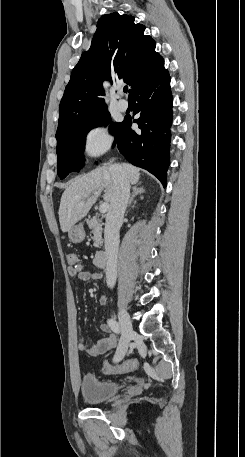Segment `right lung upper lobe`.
Returning a JSON list of instances; mask_svg holds the SVG:
<instances>
[{"instance_id": "1", "label": "right lung upper lobe", "mask_w": 245, "mask_h": 457, "mask_svg": "<svg viewBox=\"0 0 245 457\" xmlns=\"http://www.w3.org/2000/svg\"><path fill=\"white\" fill-rule=\"evenodd\" d=\"M145 26L134 17L118 13L103 15L88 51L71 73L59 106L58 128L107 108L103 80H123L130 93L137 84L164 68L155 52V41L144 35Z\"/></svg>"}]
</instances>
